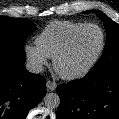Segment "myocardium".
I'll use <instances>...</instances> for the list:
<instances>
[{"label":"myocardium","mask_w":119,"mask_h":119,"mask_svg":"<svg viewBox=\"0 0 119 119\" xmlns=\"http://www.w3.org/2000/svg\"><path fill=\"white\" fill-rule=\"evenodd\" d=\"M92 27L97 28L101 33V45H100V48H99L98 52L96 53V55L93 57V59L85 67H83L82 69H80L78 71L71 72V73H64V72L60 71L59 63H60L61 59L70 51L76 38L83 31H85L86 29L92 28ZM105 47H106V34H105V31L103 30V28L101 26H99L98 24H95V23L85 24L82 27H80L79 29H77L75 32L72 33V35L66 41L64 46L54 56V59H53L54 70L63 79H66V80L80 79V78L86 76L94 68V66L97 64V62L101 58V56L105 50Z\"/></svg>","instance_id":"1"}]
</instances>
